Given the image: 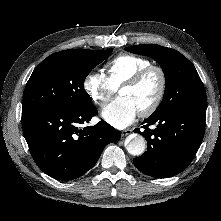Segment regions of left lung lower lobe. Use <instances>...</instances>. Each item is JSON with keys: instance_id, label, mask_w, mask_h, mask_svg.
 I'll use <instances>...</instances> for the list:
<instances>
[{"instance_id": "obj_1", "label": "left lung lower lobe", "mask_w": 221, "mask_h": 221, "mask_svg": "<svg viewBox=\"0 0 221 221\" xmlns=\"http://www.w3.org/2000/svg\"><path fill=\"white\" fill-rule=\"evenodd\" d=\"M206 110H169L152 114L142 123L147 151L134 158L142 173L167 178L182 172L192 161L203 140ZM157 125L154 130L150 125Z\"/></svg>"}]
</instances>
